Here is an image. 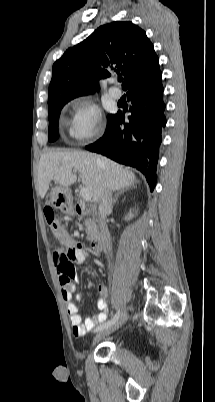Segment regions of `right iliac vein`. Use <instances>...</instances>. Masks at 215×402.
Segmentation results:
<instances>
[{
	"label": "right iliac vein",
	"mask_w": 215,
	"mask_h": 402,
	"mask_svg": "<svg viewBox=\"0 0 215 402\" xmlns=\"http://www.w3.org/2000/svg\"><path fill=\"white\" fill-rule=\"evenodd\" d=\"M127 318H128L127 312H123L120 318L114 324L98 331V333L94 338V343L116 331L120 326H122L126 322Z\"/></svg>",
	"instance_id": "63e3f726"
}]
</instances>
